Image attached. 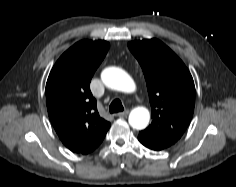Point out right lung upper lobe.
Returning a JSON list of instances; mask_svg holds the SVG:
<instances>
[{
    "instance_id": "obj_1",
    "label": "right lung upper lobe",
    "mask_w": 236,
    "mask_h": 187,
    "mask_svg": "<svg viewBox=\"0 0 236 187\" xmlns=\"http://www.w3.org/2000/svg\"><path fill=\"white\" fill-rule=\"evenodd\" d=\"M109 46L106 41L77 42L58 59L47 80L49 118L62 143L74 153L94 151L110 127L99 116L90 91L91 78Z\"/></svg>"
}]
</instances>
